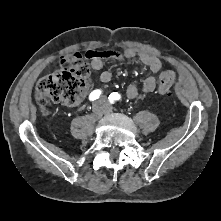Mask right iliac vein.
Returning <instances> with one entry per match:
<instances>
[{
  "instance_id": "right-iliac-vein-1",
  "label": "right iliac vein",
  "mask_w": 221,
  "mask_h": 221,
  "mask_svg": "<svg viewBox=\"0 0 221 221\" xmlns=\"http://www.w3.org/2000/svg\"><path fill=\"white\" fill-rule=\"evenodd\" d=\"M93 115L95 118H100L102 116V110L100 107L96 106L93 109Z\"/></svg>"
}]
</instances>
